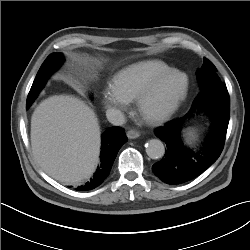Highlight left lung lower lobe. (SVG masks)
<instances>
[{
	"instance_id": "0a47b994",
	"label": "left lung lower lobe",
	"mask_w": 250,
	"mask_h": 250,
	"mask_svg": "<svg viewBox=\"0 0 250 250\" xmlns=\"http://www.w3.org/2000/svg\"><path fill=\"white\" fill-rule=\"evenodd\" d=\"M205 112L211 120V130L202 151L184 146L182 128L193 112ZM230 117V98L224 83L208 86L195 98L189 113L165 124L155 135L165 142L164 157L152 167L154 174L167 184L187 182L203 173L220 156Z\"/></svg>"
}]
</instances>
